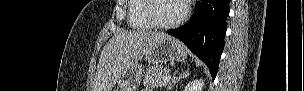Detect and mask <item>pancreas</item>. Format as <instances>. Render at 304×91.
<instances>
[{"label": "pancreas", "instance_id": "1", "mask_svg": "<svg viewBox=\"0 0 304 91\" xmlns=\"http://www.w3.org/2000/svg\"><path fill=\"white\" fill-rule=\"evenodd\" d=\"M169 74V69L162 66H153L146 69L143 84L147 88L162 86L164 78Z\"/></svg>", "mask_w": 304, "mask_h": 91}]
</instances>
